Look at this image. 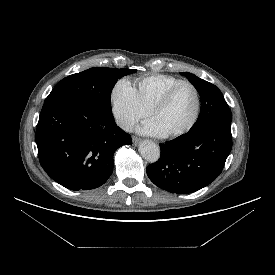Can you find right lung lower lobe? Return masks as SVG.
I'll return each instance as SVG.
<instances>
[{
    "instance_id": "1",
    "label": "right lung lower lobe",
    "mask_w": 275,
    "mask_h": 275,
    "mask_svg": "<svg viewBox=\"0 0 275 275\" xmlns=\"http://www.w3.org/2000/svg\"><path fill=\"white\" fill-rule=\"evenodd\" d=\"M36 143L40 164L57 183L71 190L103 185L113 171L114 152L131 145L112 113L84 101L44 104Z\"/></svg>"
}]
</instances>
